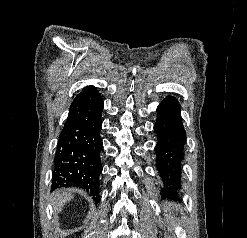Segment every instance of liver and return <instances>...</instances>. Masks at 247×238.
Wrapping results in <instances>:
<instances>
[{
	"instance_id": "1",
	"label": "liver",
	"mask_w": 247,
	"mask_h": 238,
	"mask_svg": "<svg viewBox=\"0 0 247 238\" xmlns=\"http://www.w3.org/2000/svg\"><path fill=\"white\" fill-rule=\"evenodd\" d=\"M72 198H73V195L68 190L56 192L52 199V202L54 205V213H60L65 203L69 202Z\"/></svg>"
}]
</instances>
